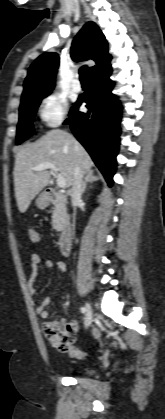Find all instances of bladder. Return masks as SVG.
Listing matches in <instances>:
<instances>
[{"label":"bladder","mask_w":165,"mask_h":419,"mask_svg":"<svg viewBox=\"0 0 165 419\" xmlns=\"http://www.w3.org/2000/svg\"><path fill=\"white\" fill-rule=\"evenodd\" d=\"M90 372H91L90 369L85 370V373H90Z\"/></svg>","instance_id":"31cf9c89"}]
</instances>
